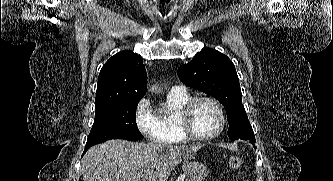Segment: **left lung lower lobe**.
<instances>
[{
  "label": "left lung lower lobe",
  "instance_id": "1",
  "mask_svg": "<svg viewBox=\"0 0 333 181\" xmlns=\"http://www.w3.org/2000/svg\"><path fill=\"white\" fill-rule=\"evenodd\" d=\"M240 139L248 140V141H249L251 144H253V145H254V143H255V141L249 140V139H247V137H241Z\"/></svg>",
  "mask_w": 333,
  "mask_h": 181
}]
</instances>
